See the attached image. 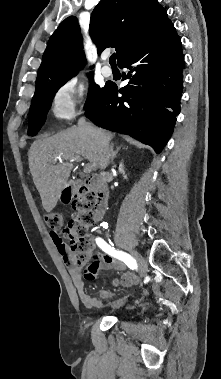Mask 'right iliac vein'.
<instances>
[{
  "instance_id": "right-iliac-vein-1",
  "label": "right iliac vein",
  "mask_w": 221,
  "mask_h": 379,
  "mask_svg": "<svg viewBox=\"0 0 221 379\" xmlns=\"http://www.w3.org/2000/svg\"><path fill=\"white\" fill-rule=\"evenodd\" d=\"M132 254L134 255L138 263L141 277H144L147 272V266H146L144 258L138 252H132ZM120 303L122 302H118L117 304H120Z\"/></svg>"
}]
</instances>
